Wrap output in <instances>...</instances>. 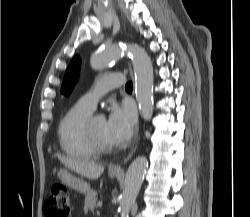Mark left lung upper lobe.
<instances>
[{
  "instance_id": "left-lung-upper-lobe-1",
  "label": "left lung upper lobe",
  "mask_w": 250,
  "mask_h": 217,
  "mask_svg": "<svg viewBox=\"0 0 250 217\" xmlns=\"http://www.w3.org/2000/svg\"><path fill=\"white\" fill-rule=\"evenodd\" d=\"M79 69H80V58L76 56L70 62L69 67L65 73L61 87L62 94L69 96V94L71 93L77 82Z\"/></svg>"
}]
</instances>
